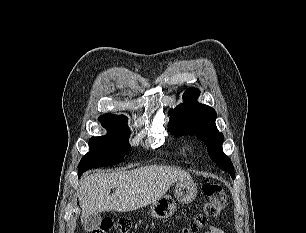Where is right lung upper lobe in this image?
<instances>
[{
    "mask_svg": "<svg viewBox=\"0 0 306 233\" xmlns=\"http://www.w3.org/2000/svg\"><path fill=\"white\" fill-rule=\"evenodd\" d=\"M105 115H113V114H105ZM114 116H118V115H114ZM122 117H124V116H122Z\"/></svg>",
    "mask_w": 306,
    "mask_h": 233,
    "instance_id": "right-lung-upper-lobe-1",
    "label": "right lung upper lobe"
}]
</instances>
